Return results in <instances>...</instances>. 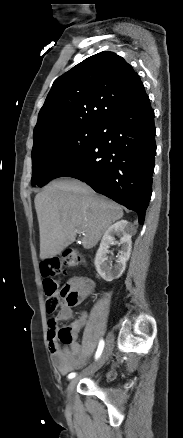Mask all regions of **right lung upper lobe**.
I'll return each instance as SVG.
<instances>
[{"label":"right lung upper lobe","mask_w":183,"mask_h":438,"mask_svg":"<svg viewBox=\"0 0 183 438\" xmlns=\"http://www.w3.org/2000/svg\"><path fill=\"white\" fill-rule=\"evenodd\" d=\"M146 95L138 74L122 57L100 52L54 81L39 112L33 139L74 127L99 126Z\"/></svg>","instance_id":"right-lung-upper-lobe-1"}]
</instances>
